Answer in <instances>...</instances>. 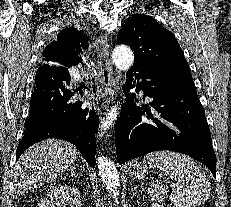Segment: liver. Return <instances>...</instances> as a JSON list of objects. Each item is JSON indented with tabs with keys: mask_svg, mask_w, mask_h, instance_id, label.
<instances>
[{
	"mask_svg": "<svg viewBox=\"0 0 231 207\" xmlns=\"http://www.w3.org/2000/svg\"><path fill=\"white\" fill-rule=\"evenodd\" d=\"M77 148L64 140L46 139L28 148L19 158L13 173V192L23 195L27 190L54 182L79 155Z\"/></svg>",
	"mask_w": 231,
	"mask_h": 207,
	"instance_id": "obj_1",
	"label": "liver"
}]
</instances>
